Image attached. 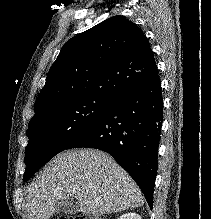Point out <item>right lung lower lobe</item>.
<instances>
[{
  "mask_svg": "<svg viewBox=\"0 0 211 219\" xmlns=\"http://www.w3.org/2000/svg\"><path fill=\"white\" fill-rule=\"evenodd\" d=\"M162 121L163 98L156 70L147 82L115 99L66 149L96 148L112 155L139 185L152 209Z\"/></svg>",
  "mask_w": 211,
  "mask_h": 219,
  "instance_id": "1",
  "label": "right lung lower lobe"
}]
</instances>
